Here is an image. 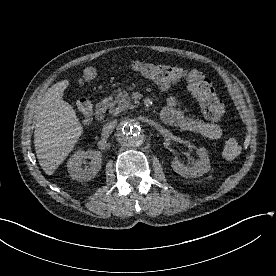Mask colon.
Instances as JSON below:
<instances>
[{
  "label": "colon",
  "mask_w": 276,
  "mask_h": 276,
  "mask_svg": "<svg viewBox=\"0 0 276 276\" xmlns=\"http://www.w3.org/2000/svg\"><path fill=\"white\" fill-rule=\"evenodd\" d=\"M132 68L137 73L164 88L170 87L180 81L186 82L208 120L217 122L223 118L224 105L222 101L216 94L210 79L198 70L142 61L133 62ZM95 75L96 70L94 68H88L84 71L83 80L90 81ZM76 107L84 120L91 118L93 106L89 100L80 99ZM240 152L241 146L236 139L229 138L224 142L223 156L226 159H234Z\"/></svg>",
  "instance_id": "colon-1"
}]
</instances>
